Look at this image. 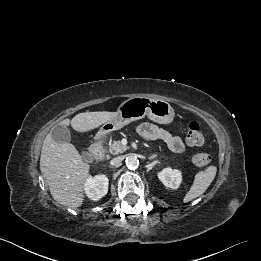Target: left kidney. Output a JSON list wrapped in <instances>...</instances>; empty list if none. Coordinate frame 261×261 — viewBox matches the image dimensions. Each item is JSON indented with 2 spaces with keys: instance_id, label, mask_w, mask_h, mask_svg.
Returning a JSON list of instances; mask_svg holds the SVG:
<instances>
[{
  "instance_id": "5707ae66",
  "label": "left kidney",
  "mask_w": 261,
  "mask_h": 261,
  "mask_svg": "<svg viewBox=\"0 0 261 261\" xmlns=\"http://www.w3.org/2000/svg\"><path fill=\"white\" fill-rule=\"evenodd\" d=\"M160 181L169 188L177 189L182 181V175L179 170H172L171 168H165L158 173Z\"/></svg>"
}]
</instances>
